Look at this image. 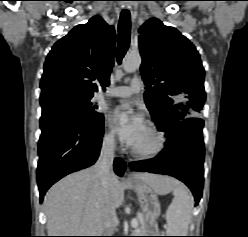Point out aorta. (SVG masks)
<instances>
[{
    "mask_svg": "<svg viewBox=\"0 0 248 237\" xmlns=\"http://www.w3.org/2000/svg\"><path fill=\"white\" fill-rule=\"evenodd\" d=\"M141 65V56L139 53L127 54L123 61V68L127 73L135 72Z\"/></svg>",
    "mask_w": 248,
    "mask_h": 237,
    "instance_id": "aorta-1",
    "label": "aorta"
}]
</instances>
